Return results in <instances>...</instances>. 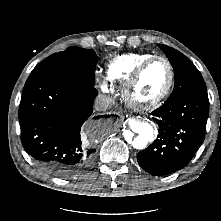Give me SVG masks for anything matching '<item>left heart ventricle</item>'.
<instances>
[{
	"instance_id": "left-heart-ventricle-1",
	"label": "left heart ventricle",
	"mask_w": 221,
	"mask_h": 221,
	"mask_svg": "<svg viewBox=\"0 0 221 221\" xmlns=\"http://www.w3.org/2000/svg\"><path fill=\"white\" fill-rule=\"evenodd\" d=\"M169 72L167 65L157 60L152 63L134 88V95L140 101H148L157 97L167 85Z\"/></svg>"
}]
</instances>
